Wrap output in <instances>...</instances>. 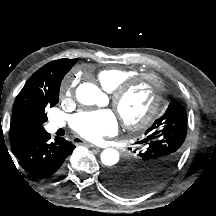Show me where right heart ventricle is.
<instances>
[{"label": "right heart ventricle", "mask_w": 216, "mask_h": 216, "mask_svg": "<svg viewBox=\"0 0 216 216\" xmlns=\"http://www.w3.org/2000/svg\"><path fill=\"white\" fill-rule=\"evenodd\" d=\"M135 75H137V72L130 68L110 67L98 72L97 81L103 89L112 92L121 83Z\"/></svg>", "instance_id": "1"}]
</instances>
